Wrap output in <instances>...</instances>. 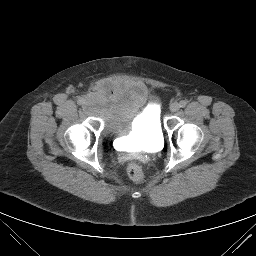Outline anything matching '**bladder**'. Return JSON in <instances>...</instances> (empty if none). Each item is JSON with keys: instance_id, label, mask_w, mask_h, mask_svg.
<instances>
[{"instance_id": "obj_1", "label": "bladder", "mask_w": 256, "mask_h": 256, "mask_svg": "<svg viewBox=\"0 0 256 256\" xmlns=\"http://www.w3.org/2000/svg\"><path fill=\"white\" fill-rule=\"evenodd\" d=\"M108 83L87 98L93 112L104 121V130L124 137L128 145L154 148L163 141L158 102L141 83L121 82L110 91Z\"/></svg>"}]
</instances>
